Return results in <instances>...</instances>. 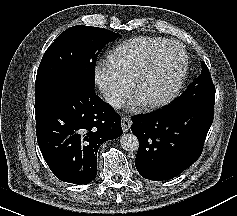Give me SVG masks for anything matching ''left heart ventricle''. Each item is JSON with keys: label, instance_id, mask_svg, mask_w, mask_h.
<instances>
[{"label": "left heart ventricle", "instance_id": "1", "mask_svg": "<svg viewBox=\"0 0 237 216\" xmlns=\"http://www.w3.org/2000/svg\"><path fill=\"white\" fill-rule=\"evenodd\" d=\"M182 67V57L163 60L149 74H143L140 80L138 95L146 99H158L176 82Z\"/></svg>", "mask_w": 237, "mask_h": 216}]
</instances>
